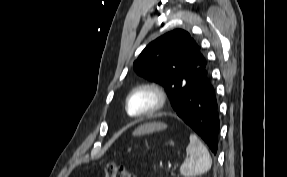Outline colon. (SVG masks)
<instances>
[{"label": "colon", "mask_w": 287, "mask_h": 177, "mask_svg": "<svg viewBox=\"0 0 287 177\" xmlns=\"http://www.w3.org/2000/svg\"><path fill=\"white\" fill-rule=\"evenodd\" d=\"M105 177H136L129 169L122 165L109 162L104 166Z\"/></svg>", "instance_id": "obj_1"}]
</instances>
